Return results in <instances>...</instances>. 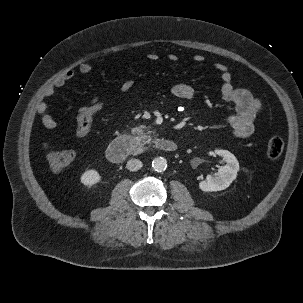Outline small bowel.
<instances>
[{
  "mask_svg": "<svg viewBox=\"0 0 303 303\" xmlns=\"http://www.w3.org/2000/svg\"><path fill=\"white\" fill-rule=\"evenodd\" d=\"M148 61L156 62L159 56L156 53H149L146 56ZM168 59L171 62H176L178 56L170 54ZM197 63H202L205 57L197 54L193 57ZM215 69L220 73L222 80L221 97L228 104H232L234 112L227 117V122L231 128L232 134L237 138H248L254 132V121L262 110V102L255 97L251 91L246 88L236 87L233 85V77L227 66L218 62L214 65ZM93 66L89 62H84L79 66V71L82 74H88L92 71ZM75 75L73 70L66 71L63 75L57 78L54 83L45 91V96H52L57 88L63 87L66 82L71 80ZM134 86V80L129 78L124 80L119 85L120 92H128ZM172 94L179 99H192L195 96L194 88L187 83H178L172 87ZM36 112L40 116L42 124L49 129L55 128L57 122L48 113V105L45 102H40L36 107Z\"/></svg>",
  "mask_w": 303,
  "mask_h": 303,
  "instance_id": "obj_1",
  "label": "small bowel"
}]
</instances>
